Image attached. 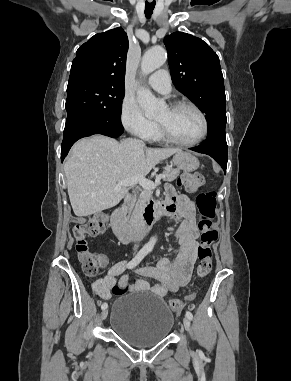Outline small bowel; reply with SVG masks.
<instances>
[{"label": "small bowel", "instance_id": "c3829d8e", "mask_svg": "<svg viewBox=\"0 0 291 381\" xmlns=\"http://www.w3.org/2000/svg\"><path fill=\"white\" fill-rule=\"evenodd\" d=\"M164 205L167 216L182 220L176 231V237L180 245L177 255L173 259L162 258L155 266H145L136 270L138 275L156 280L154 286H150L145 279L130 284V276L124 274L127 262L119 261L115 263L104 277L97 279L92 284L93 291L100 298L104 300L111 298V290L117 283L118 277H120L119 284L128 285L131 291L151 292L160 297L178 290L189 282L197 258L198 248L195 208L191 201L178 198L171 189L168 191Z\"/></svg>", "mask_w": 291, "mask_h": 381}]
</instances>
